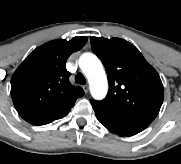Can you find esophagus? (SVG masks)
<instances>
[{"label": "esophagus", "mask_w": 181, "mask_h": 164, "mask_svg": "<svg viewBox=\"0 0 181 164\" xmlns=\"http://www.w3.org/2000/svg\"><path fill=\"white\" fill-rule=\"evenodd\" d=\"M83 89H84L85 93H87L88 92V85L87 84L83 85Z\"/></svg>", "instance_id": "obj_1"}]
</instances>
